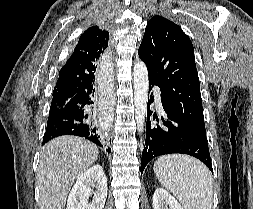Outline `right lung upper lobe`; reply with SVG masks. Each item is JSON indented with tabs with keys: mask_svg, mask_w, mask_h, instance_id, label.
Instances as JSON below:
<instances>
[{
	"mask_svg": "<svg viewBox=\"0 0 253 209\" xmlns=\"http://www.w3.org/2000/svg\"><path fill=\"white\" fill-rule=\"evenodd\" d=\"M109 33L89 27L79 38L74 52L59 72L53 98L71 97L95 81L100 55L108 47Z\"/></svg>",
	"mask_w": 253,
	"mask_h": 209,
	"instance_id": "obj_1",
	"label": "right lung upper lobe"
}]
</instances>
